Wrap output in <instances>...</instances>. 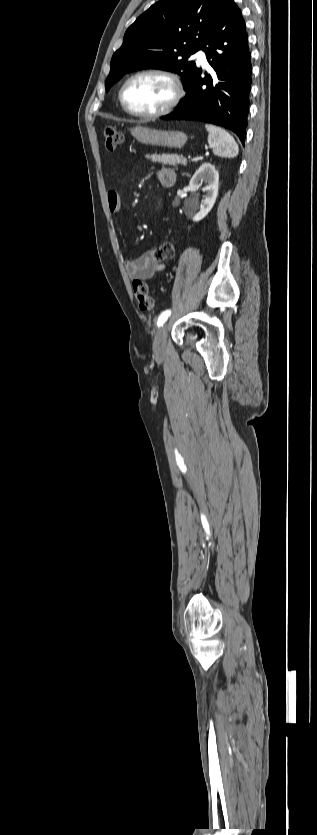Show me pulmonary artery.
I'll return each mask as SVG.
<instances>
[{
    "label": "pulmonary artery",
    "mask_w": 317,
    "mask_h": 835,
    "mask_svg": "<svg viewBox=\"0 0 317 835\" xmlns=\"http://www.w3.org/2000/svg\"><path fill=\"white\" fill-rule=\"evenodd\" d=\"M194 57H195V58L197 59V61H198L200 64H202L203 66H207V65H208V62H207V59H206V55H205V52H204L203 50H198V51L194 54Z\"/></svg>",
    "instance_id": "obj_1"
}]
</instances>
